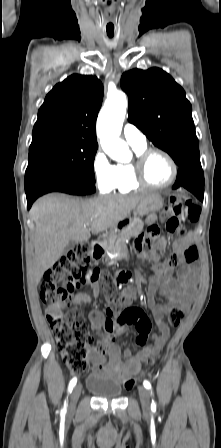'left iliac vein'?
Masks as SVG:
<instances>
[{"instance_id": "left-iliac-vein-1", "label": "left iliac vein", "mask_w": 221, "mask_h": 448, "mask_svg": "<svg viewBox=\"0 0 221 448\" xmlns=\"http://www.w3.org/2000/svg\"><path fill=\"white\" fill-rule=\"evenodd\" d=\"M139 397L141 401L142 408L145 412L150 411V393L147 388L143 386L138 387Z\"/></svg>"}]
</instances>
